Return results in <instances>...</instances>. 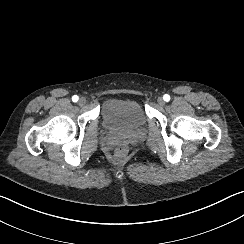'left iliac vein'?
I'll list each match as a JSON object with an SVG mask.
<instances>
[{
  "label": "left iliac vein",
  "instance_id": "1",
  "mask_svg": "<svg viewBox=\"0 0 244 244\" xmlns=\"http://www.w3.org/2000/svg\"><path fill=\"white\" fill-rule=\"evenodd\" d=\"M157 102H158V104H159L160 106H164V105H165V101H164V99H163L162 97H159V98L157 99Z\"/></svg>",
  "mask_w": 244,
  "mask_h": 244
}]
</instances>
